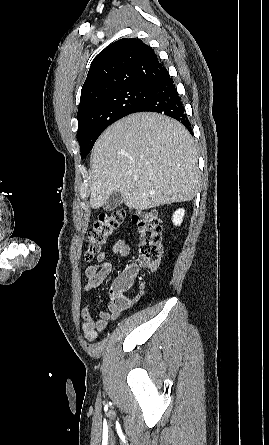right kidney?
<instances>
[{
    "label": "right kidney",
    "mask_w": 269,
    "mask_h": 445,
    "mask_svg": "<svg viewBox=\"0 0 269 445\" xmlns=\"http://www.w3.org/2000/svg\"><path fill=\"white\" fill-rule=\"evenodd\" d=\"M184 214H185V210L183 208H180L175 211V213L173 214V219H172L174 225L177 226L182 223Z\"/></svg>",
    "instance_id": "ca27d5eb"
}]
</instances>
